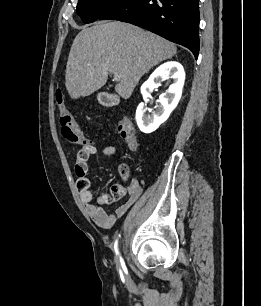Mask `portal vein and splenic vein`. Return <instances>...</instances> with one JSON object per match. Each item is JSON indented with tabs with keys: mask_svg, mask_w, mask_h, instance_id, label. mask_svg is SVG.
Listing matches in <instances>:
<instances>
[{
	"mask_svg": "<svg viewBox=\"0 0 261 306\" xmlns=\"http://www.w3.org/2000/svg\"><path fill=\"white\" fill-rule=\"evenodd\" d=\"M113 79H114V81H120L121 76L119 74H114Z\"/></svg>",
	"mask_w": 261,
	"mask_h": 306,
	"instance_id": "portal-vein-and-splenic-vein-1",
	"label": "portal vein and splenic vein"
}]
</instances>
